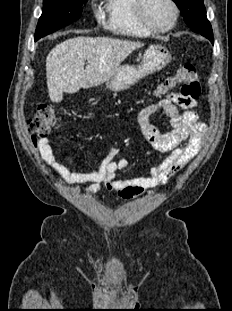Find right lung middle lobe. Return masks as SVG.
<instances>
[{
  "mask_svg": "<svg viewBox=\"0 0 232 311\" xmlns=\"http://www.w3.org/2000/svg\"><path fill=\"white\" fill-rule=\"evenodd\" d=\"M87 0H43V11L35 32V41L76 21Z\"/></svg>",
  "mask_w": 232,
  "mask_h": 311,
  "instance_id": "dd1d6c3e",
  "label": "right lung middle lobe"
}]
</instances>
